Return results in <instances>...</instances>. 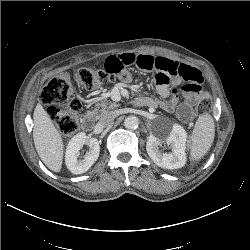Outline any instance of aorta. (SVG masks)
<instances>
[{
	"mask_svg": "<svg viewBox=\"0 0 250 250\" xmlns=\"http://www.w3.org/2000/svg\"><path fill=\"white\" fill-rule=\"evenodd\" d=\"M139 125V119L136 116H128L124 120V126L127 129L133 130L136 129Z\"/></svg>",
	"mask_w": 250,
	"mask_h": 250,
	"instance_id": "aorta-1",
	"label": "aorta"
}]
</instances>
